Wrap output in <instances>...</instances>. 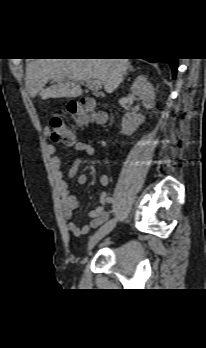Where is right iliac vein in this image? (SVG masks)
I'll list each match as a JSON object with an SVG mask.
<instances>
[{
	"label": "right iliac vein",
	"instance_id": "obj_1",
	"mask_svg": "<svg viewBox=\"0 0 206 348\" xmlns=\"http://www.w3.org/2000/svg\"><path fill=\"white\" fill-rule=\"evenodd\" d=\"M116 226V219L109 220L102 227H100L95 234L90 238L87 245V252H90L94 246L107 234H109Z\"/></svg>",
	"mask_w": 206,
	"mask_h": 348
}]
</instances>
